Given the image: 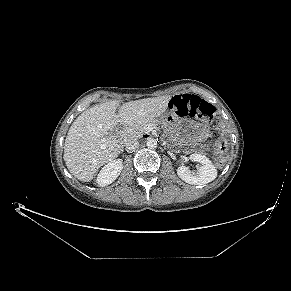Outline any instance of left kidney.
I'll list each match as a JSON object with an SVG mask.
<instances>
[{
	"instance_id": "obj_1",
	"label": "left kidney",
	"mask_w": 291,
	"mask_h": 291,
	"mask_svg": "<svg viewBox=\"0 0 291 291\" xmlns=\"http://www.w3.org/2000/svg\"><path fill=\"white\" fill-rule=\"evenodd\" d=\"M190 159L200 163V167L196 171H191L186 166L178 167L177 174L183 181L192 185H205L217 177L216 167L206 156L192 154Z\"/></svg>"
}]
</instances>
